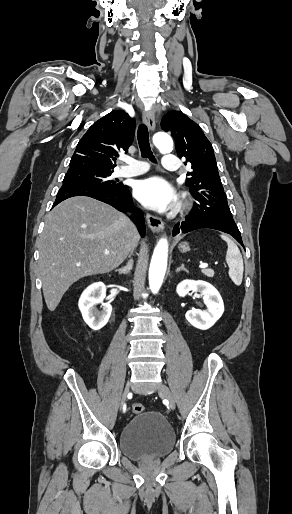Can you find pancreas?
Here are the masks:
<instances>
[{
    "mask_svg": "<svg viewBox=\"0 0 292 514\" xmlns=\"http://www.w3.org/2000/svg\"><path fill=\"white\" fill-rule=\"evenodd\" d=\"M203 274H205V276H208V278H213L214 276L213 270H204Z\"/></svg>",
    "mask_w": 292,
    "mask_h": 514,
    "instance_id": "pancreas-1",
    "label": "pancreas"
}]
</instances>
